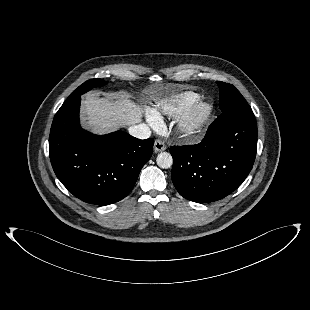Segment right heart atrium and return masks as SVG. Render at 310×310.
<instances>
[{"label":"right heart atrium","mask_w":310,"mask_h":310,"mask_svg":"<svg viewBox=\"0 0 310 310\" xmlns=\"http://www.w3.org/2000/svg\"><path fill=\"white\" fill-rule=\"evenodd\" d=\"M149 121L154 128L160 127L162 124V121L160 118L153 117L150 115V113H149Z\"/></svg>","instance_id":"d8ad5b80"}]
</instances>
